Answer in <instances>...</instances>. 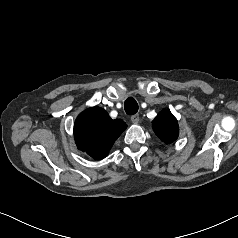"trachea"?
<instances>
[{"label":"trachea","mask_w":238,"mask_h":238,"mask_svg":"<svg viewBox=\"0 0 238 238\" xmlns=\"http://www.w3.org/2000/svg\"><path fill=\"white\" fill-rule=\"evenodd\" d=\"M138 103L132 97H129L124 102V109L128 115H134L138 111Z\"/></svg>","instance_id":"3493384b"}]
</instances>
